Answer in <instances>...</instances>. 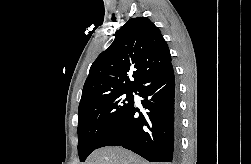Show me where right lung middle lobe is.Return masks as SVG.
<instances>
[{"mask_svg": "<svg viewBox=\"0 0 251 164\" xmlns=\"http://www.w3.org/2000/svg\"><path fill=\"white\" fill-rule=\"evenodd\" d=\"M133 92L136 90L103 95L79 108L78 154L81 162L98 148L103 138L134 105Z\"/></svg>", "mask_w": 251, "mask_h": 164, "instance_id": "obj_1", "label": "right lung middle lobe"}]
</instances>
